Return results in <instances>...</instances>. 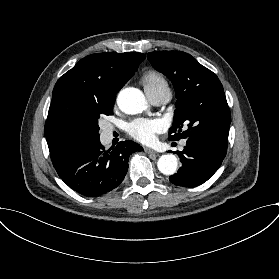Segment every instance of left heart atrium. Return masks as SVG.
I'll list each match as a JSON object with an SVG mask.
<instances>
[{"mask_svg":"<svg viewBox=\"0 0 279 279\" xmlns=\"http://www.w3.org/2000/svg\"><path fill=\"white\" fill-rule=\"evenodd\" d=\"M161 130L162 123L157 119L138 118L126 126V132L142 143L151 142Z\"/></svg>","mask_w":279,"mask_h":279,"instance_id":"39dd6f15","label":"left heart atrium"}]
</instances>
